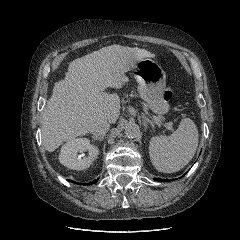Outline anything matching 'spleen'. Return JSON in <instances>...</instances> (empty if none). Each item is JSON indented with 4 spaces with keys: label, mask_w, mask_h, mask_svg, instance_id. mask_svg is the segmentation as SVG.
<instances>
[{
    "label": "spleen",
    "mask_w": 240,
    "mask_h": 240,
    "mask_svg": "<svg viewBox=\"0 0 240 240\" xmlns=\"http://www.w3.org/2000/svg\"><path fill=\"white\" fill-rule=\"evenodd\" d=\"M198 146V130L190 118L181 120L179 127L168 138L152 137L149 155L154 167L164 173H174L193 158Z\"/></svg>",
    "instance_id": "obj_1"
}]
</instances>
